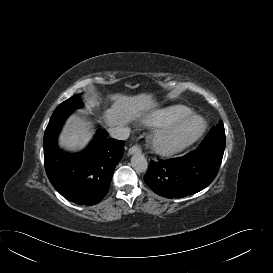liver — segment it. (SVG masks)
I'll return each instance as SVG.
<instances>
[{
    "mask_svg": "<svg viewBox=\"0 0 273 273\" xmlns=\"http://www.w3.org/2000/svg\"><path fill=\"white\" fill-rule=\"evenodd\" d=\"M109 99L113 104L105 113V121L110 127H123L127 122L139 118L155 106L152 95L149 94L136 96L113 94L109 95ZM91 137L92 132L89 131L88 123L78 117H72L64 127L59 144L66 149L76 150L84 147Z\"/></svg>",
    "mask_w": 273,
    "mask_h": 273,
    "instance_id": "obj_1",
    "label": "liver"
}]
</instances>
